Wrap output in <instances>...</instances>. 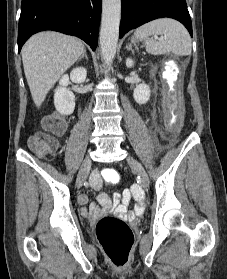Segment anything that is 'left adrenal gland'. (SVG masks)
Here are the masks:
<instances>
[{"label":"left adrenal gland","mask_w":227,"mask_h":279,"mask_svg":"<svg viewBox=\"0 0 227 279\" xmlns=\"http://www.w3.org/2000/svg\"><path fill=\"white\" fill-rule=\"evenodd\" d=\"M126 49L133 51L131 44L126 45Z\"/></svg>","instance_id":"left-adrenal-gland-1"}]
</instances>
